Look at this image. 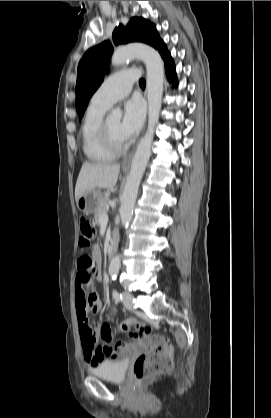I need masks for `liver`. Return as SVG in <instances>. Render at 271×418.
I'll use <instances>...</instances> for the list:
<instances>
[{
    "label": "liver",
    "mask_w": 271,
    "mask_h": 418,
    "mask_svg": "<svg viewBox=\"0 0 271 418\" xmlns=\"http://www.w3.org/2000/svg\"><path fill=\"white\" fill-rule=\"evenodd\" d=\"M119 164H93L84 162L75 187V200L94 189H112L118 180Z\"/></svg>",
    "instance_id": "liver-1"
}]
</instances>
